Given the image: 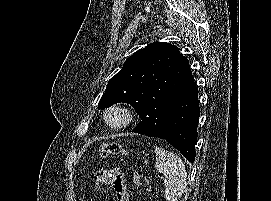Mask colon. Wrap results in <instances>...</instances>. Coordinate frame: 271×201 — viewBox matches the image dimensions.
Here are the masks:
<instances>
[{
	"mask_svg": "<svg viewBox=\"0 0 271 201\" xmlns=\"http://www.w3.org/2000/svg\"><path fill=\"white\" fill-rule=\"evenodd\" d=\"M99 155L102 158H107L109 156H125L127 151L123 145L117 141L104 143L99 148ZM134 181H138V176L136 173L133 174Z\"/></svg>",
	"mask_w": 271,
	"mask_h": 201,
	"instance_id": "colon-1",
	"label": "colon"
}]
</instances>
